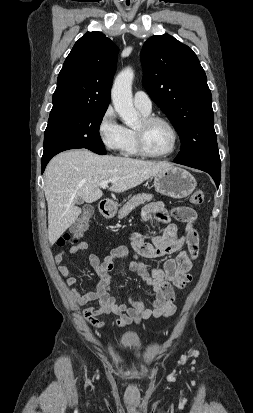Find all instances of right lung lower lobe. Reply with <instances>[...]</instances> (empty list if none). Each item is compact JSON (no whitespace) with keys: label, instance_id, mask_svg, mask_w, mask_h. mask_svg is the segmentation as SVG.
<instances>
[{"label":"right lung lower lobe","instance_id":"1","mask_svg":"<svg viewBox=\"0 0 253 413\" xmlns=\"http://www.w3.org/2000/svg\"><path fill=\"white\" fill-rule=\"evenodd\" d=\"M69 149H74V148H69ZM88 149L91 150V151H93V152H95V153H97V154H100V155H105V154L107 153L104 147H103V148H88ZM65 150H68V149H63V150H60V151H58V152H55V153H53V154H51V155H49V156L42 157V162H41L42 172L44 171L47 163L51 160V158H52L53 156H55L56 154H58V153H60V152H62V151H65Z\"/></svg>","mask_w":253,"mask_h":413}]
</instances>
